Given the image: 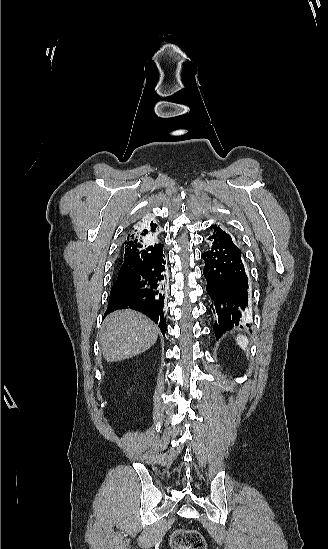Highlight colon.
<instances>
[{
  "instance_id": "obj_1",
  "label": "colon",
  "mask_w": 328,
  "mask_h": 549,
  "mask_svg": "<svg viewBox=\"0 0 328 549\" xmlns=\"http://www.w3.org/2000/svg\"><path fill=\"white\" fill-rule=\"evenodd\" d=\"M170 545L175 549H206L204 537L193 529H176L171 534Z\"/></svg>"
}]
</instances>
